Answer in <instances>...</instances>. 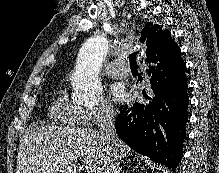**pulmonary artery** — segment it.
<instances>
[{"label": "pulmonary artery", "instance_id": "obj_1", "mask_svg": "<svg viewBox=\"0 0 219 173\" xmlns=\"http://www.w3.org/2000/svg\"><path fill=\"white\" fill-rule=\"evenodd\" d=\"M120 61H115L106 67L105 74L114 79H122L128 75V69L120 66Z\"/></svg>", "mask_w": 219, "mask_h": 173}]
</instances>
